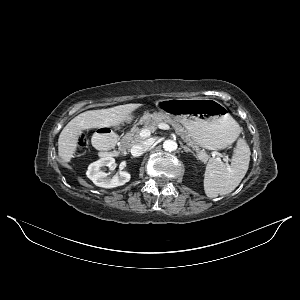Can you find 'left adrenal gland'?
<instances>
[{
  "mask_svg": "<svg viewBox=\"0 0 300 300\" xmlns=\"http://www.w3.org/2000/svg\"><path fill=\"white\" fill-rule=\"evenodd\" d=\"M183 149H184L185 152L192 153L198 159V156L188 146L184 145Z\"/></svg>",
  "mask_w": 300,
  "mask_h": 300,
  "instance_id": "1",
  "label": "left adrenal gland"
}]
</instances>
